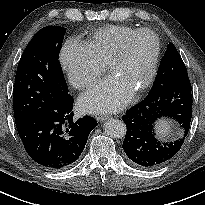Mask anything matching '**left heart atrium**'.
<instances>
[{
	"mask_svg": "<svg viewBox=\"0 0 205 205\" xmlns=\"http://www.w3.org/2000/svg\"><path fill=\"white\" fill-rule=\"evenodd\" d=\"M132 95L133 90L112 75L83 94L79 107L87 112H114L124 107Z\"/></svg>",
	"mask_w": 205,
	"mask_h": 205,
	"instance_id": "1",
	"label": "left heart atrium"
}]
</instances>
